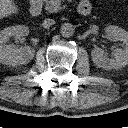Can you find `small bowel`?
Wrapping results in <instances>:
<instances>
[{
    "label": "small bowel",
    "mask_w": 128,
    "mask_h": 128,
    "mask_svg": "<svg viewBox=\"0 0 128 128\" xmlns=\"http://www.w3.org/2000/svg\"><path fill=\"white\" fill-rule=\"evenodd\" d=\"M82 1H85V2L89 3V1H88V0H82ZM82 1H81V2H82Z\"/></svg>",
    "instance_id": "1"
}]
</instances>
